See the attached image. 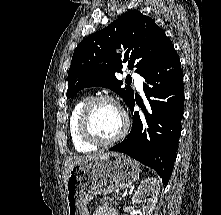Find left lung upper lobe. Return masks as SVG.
I'll return each instance as SVG.
<instances>
[{
  "label": "left lung upper lobe",
  "mask_w": 221,
  "mask_h": 215,
  "mask_svg": "<svg viewBox=\"0 0 221 215\" xmlns=\"http://www.w3.org/2000/svg\"><path fill=\"white\" fill-rule=\"evenodd\" d=\"M164 31L153 19L137 10L121 15L105 29L85 38L75 48L68 71L67 98L74 97L85 87H106L120 95L129 106L134 91L119 81L115 73L123 64L144 76L171 44ZM128 48L124 56L116 48Z\"/></svg>",
  "instance_id": "1"
}]
</instances>
